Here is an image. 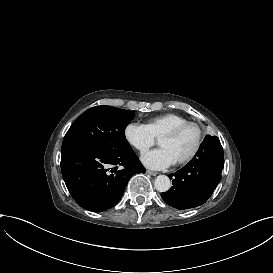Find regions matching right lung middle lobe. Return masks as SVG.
<instances>
[{"instance_id": "dd1d6c3e", "label": "right lung middle lobe", "mask_w": 273, "mask_h": 273, "mask_svg": "<svg viewBox=\"0 0 273 273\" xmlns=\"http://www.w3.org/2000/svg\"><path fill=\"white\" fill-rule=\"evenodd\" d=\"M134 112L106 105L86 110L66 133L61 152L80 146L116 152L130 150L125 128L133 119Z\"/></svg>"}]
</instances>
